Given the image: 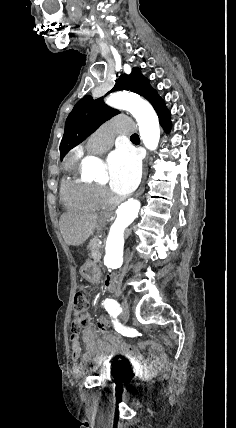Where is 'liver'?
<instances>
[{
	"label": "liver",
	"instance_id": "1",
	"mask_svg": "<svg viewBox=\"0 0 236 428\" xmlns=\"http://www.w3.org/2000/svg\"><path fill=\"white\" fill-rule=\"evenodd\" d=\"M98 214H62L60 232L68 246H80L88 240L97 226Z\"/></svg>",
	"mask_w": 236,
	"mask_h": 428
}]
</instances>
